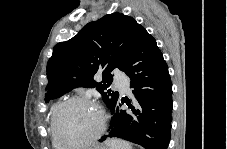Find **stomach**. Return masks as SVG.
<instances>
[{
    "mask_svg": "<svg viewBox=\"0 0 227 149\" xmlns=\"http://www.w3.org/2000/svg\"><path fill=\"white\" fill-rule=\"evenodd\" d=\"M95 149H108V147L106 145H103V146H100V147L95 148Z\"/></svg>",
    "mask_w": 227,
    "mask_h": 149,
    "instance_id": "obj_1",
    "label": "stomach"
}]
</instances>
